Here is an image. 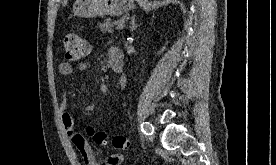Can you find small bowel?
I'll return each instance as SVG.
<instances>
[{
	"mask_svg": "<svg viewBox=\"0 0 276 165\" xmlns=\"http://www.w3.org/2000/svg\"><path fill=\"white\" fill-rule=\"evenodd\" d=\"M111 56H118L123 59L122 53L117 48H112L109 52V58ZM89 67L88 62H81L77 65V68L80 71H84ZM74 67L70 63L62 62L59 65V72L62 76L68 77L73 73ZM126 80L124 77L120 79V86L123 88L125 86ZM61 115L64 128L66 133L72 143L76 146L82 158L84 160L85 165H100L94 155L92 148L89 143L86 141L84 136L76 129V119L74 115L67 108V98L64 95L62 98V102L60 105ZM122 161V157L119 154H111L109 155L101 164L102 165H120Z\"/></svg>",
	"mask_w": 276,
	"mask_h": 165,
	"instance_id": "1",
	"label": "small bowel"
}]
</instances>
